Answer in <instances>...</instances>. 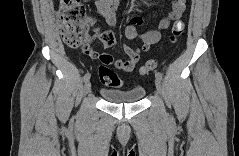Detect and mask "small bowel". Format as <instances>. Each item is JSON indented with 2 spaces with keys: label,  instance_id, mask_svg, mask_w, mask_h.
Returning a JSON list of instances; mask_svg holds the SVG:
<instances>
[{
  "label": "small bowel",
  "instance_id": "obj_1",
  "mask_svg": "<svg viewBox=\"0 0 239 156\" xmlns=\"http://www.w3.org/2000/svg\"><path fill=\"white\" fill-rule=\"evenodd\" d=\"M96 13L101 15L109 26L117 24V10L119 7L118 0H97L95 2ZM186 8L183 0H174L171 9L167 15L161 19L156 28L140 32L137 25L141 24L142 20L139 17L131 19L130 24L125 27V41L141 42L139 49L132 48L125 44L124 51L128 55V59H116L108 52H97L89 44L90 50L83 52L92 59H98L106 66H114L118 70L131 72L137 65L140 55L148 51L152 44L157 43L161 38V31L167 29L173 21L181 18ZM93 24V21H91ZM96 38H98L105 48L111 47L115 43L113 33L108 29L99 27L94 28Z\"/></svg>",
  "mask_w": 239,
  "mask_h": 156
}]
</instances>
